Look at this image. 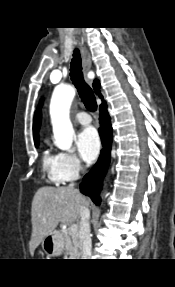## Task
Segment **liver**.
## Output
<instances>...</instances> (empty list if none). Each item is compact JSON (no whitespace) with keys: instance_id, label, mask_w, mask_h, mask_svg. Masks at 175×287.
I'll list each match as a JSON object with an SVG mask.
<instances>
[{"instance_id":"6515ba94","label":"liver","mask_w":175,"mask_h":287,"mask_svg":"<svg viewBox=\"0 0 175 287\" xmlns=\"http://www.w3.org/2000/svg\"><path fill=\"white\" fill-rule=\"evenodd\" d=\"M89 200L78 190L68 187H41L33 197L31 207L32 234L29 242L31 256L42 240L59 224H70L80 216V207Z\"/></svg>"}]
</instances>
